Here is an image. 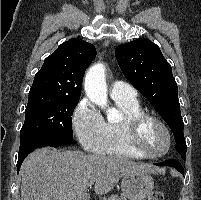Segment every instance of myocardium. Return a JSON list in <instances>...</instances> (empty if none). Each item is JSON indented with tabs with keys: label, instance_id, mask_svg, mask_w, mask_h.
<instances>
[{
	"label": "myocardium",
	"instance_id": "myocardium-1",
	"mask_svg": "<svg viewBox=\"0 0 201 200\" xmlns=\"http://www.w3.org/2000/svg\"><path fill=\"white\" fill-rule=\"evenodd\" d=\"M147 122H153L157 124L165 133L166 136V148L164 151L158 154H150L146 152L140 145L139 134L143 125ZM125 139L127 145L139 156L146 159H159L167 155L172 146V136L167 125L157 118L148 113H140L134 116H130L125 119L124 122Z\"/></svg>",
	"mask_w": 201,
	"mask_h": 200
}]
</instances>
